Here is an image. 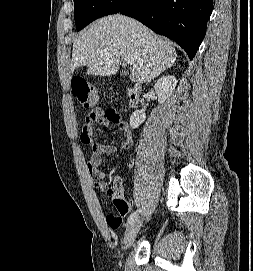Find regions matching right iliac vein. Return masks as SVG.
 Returning a JSON list of instances; mask_svg holds the SVG:
<instances>
[{"label": "right iliac vein", "mask_w": 253, "mask_h": 271, "mask_svg": "<svg viewBox=\"0 0 253 271\" xmlns=\"http://www.w3.org/2000/svg\"><path fill=\"white\" fill-rule=\"evenodd\" d=\"M141 225H142V219L136 218L133 222H131L127 226L125 235H124V240H123L124 246L126 248L130 247L133 244L137 236V233L140 230Z\"/></svg>", "instance_id": "1"}]
</instances>
